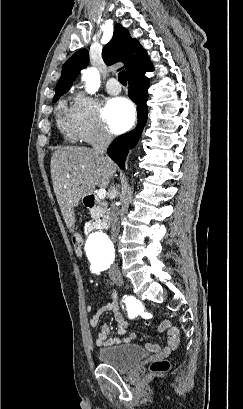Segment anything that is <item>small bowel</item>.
<instances>
[{
	"mask_svg": "<svg viewBox=\"0 0 243 409\" xmlns=\"http://www.w3.org/2000/svg\"><path fill=\"white\" fill-rule=\"evenodd\" d=\"M110 295V301L100 307L91 317L90 325L92 327H96L100 323V319L102 315L106 312H110L116 322V333L118 335H124L127 329V322L124 319V316L120 310L119 299L117 295L112 292L111 290L108 291ZM92 306L90 304L87 305V311H91ZM126 310L128 312L129 317L135 318L139 313L140 310L137 304L134 301H128L126 303ZM146 325H149V321H146ZM158 332H166L167 334V342L164 347H161L158 344H147V348L153 352L160 353L163 355H169L171 352L176 350L179 345L180 341V334L178 328L173 326L169 320L162 321L158 328ZM114 332L111 330L108 324H103L101 326L100 332L96 338V344L98 346H113L118 344H128L131 341L137 339L136 333H131L128 336H124L123 338L113 337L112 335Z\"/></svg>",
	"mask_w": 243,
	"mask_h": 409,
	"instance_id": "1",
	"label": "small bowel"
}]
</instances>
